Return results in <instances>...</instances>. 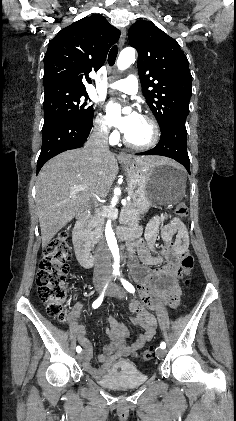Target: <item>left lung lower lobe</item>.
Here are the masks:
<instances>
[{"instance_id": "left-lung-lower-lobe-1", "label": "left lung lower lobe", "mask_w": 236, "mask_h": 421, "mask_svg": "<svg viewBox=\"0 0 236 421\" xmlns=\"http://www.w3.org/2000/svg\"><path fill=\"white\" fill-rule=\"evenodd\" d=\"M186 117L174 116L161 129V138L156 147L136 155H161L181 163L190 174V160L187 152Z\"/></svg>"}]
</instances>
